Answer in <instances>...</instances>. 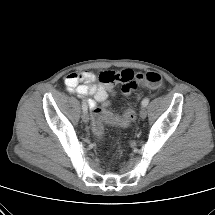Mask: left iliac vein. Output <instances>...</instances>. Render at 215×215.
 <instances>
[{"mask_svg":"<svg viewBox=\"0 0 215 215\" xmlns=\"http://www.w3.org/2000/svg\"><path fill=\"white\" fill-rule=\"evenodd\" d=\"M146 116H147L146 108H145V107H142L141 110H140V118H141V119H145Z\"/></svg>","mask_w":215,"mask_h":215,"instance_id":"obj_1","label":"left iliac vein"}]
</instances>
